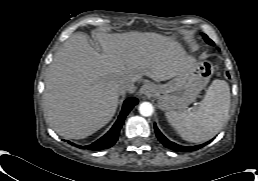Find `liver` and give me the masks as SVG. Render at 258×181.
I'll use <instances>...</instances> for the list:
<instances>
[{"label": "liver", "instance_id": "obj_1", "mask_svg": "<svg viewBox=\"0 0 258 181\" xmlns=\"http://www.w3.org/2000/svg\"><path fill=\"white\" fill-rule=\"evenodd\" d=\"M102 52L83 34L72 35L49 65L43 94L44 113L53 130L83 139L114 116L119 86L147 76L156 82L185 74L195 65L179 43L152 32H97Z\"/></svg>", "mask_w": 258, "mask_h": 181}]
</instances>
